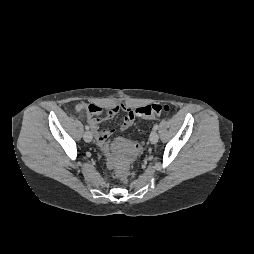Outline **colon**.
Wrapping results in <instances>:
<instances>
[{
  "instance_id": "colon-1",
  "label": "colon",
  "mask_w": 254,
  "mask_h": 254,
  "mask_svg": "<svg viewBox=\"0 0 254 254\" xmlns=\"http://www.w3.org/2000/svg\"><path fill=\"white\" fill-rule=\"evenodd\" d=\"M85 111L88 114H92L95 110L93 105L84 106ZM170 111V107L168 105L161 104H149L146 106L138 107L134 110L136 116L145 118V119H153L159 117L165 113ZM119 144L122 148L129 152H139L141 145L139 143L128 142V141H119ZM118 174L124 176L126 174L124 165H120L118 168Z\"/></svg>"
}]
</instances>
